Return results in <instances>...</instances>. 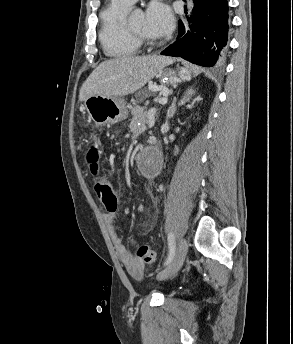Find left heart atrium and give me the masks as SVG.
Returning <instances> with one entry per match:
<instances>
[{"label": "left heart atrium", "instance_id": "1", "mask_svg": "<svg viewBox=\"0 0 293 344\" xmlns=\"http://www.w3.org/2000/svg\"><path fill=\"white\" fill-rule=\"evenodd\" d=\"M174 27V17L170 8L154 2L149 5L144 15V29L147 34L155 38L169 35Z\"/></svg>", "mask_w": 293, "mask_h": 344}]
</instances>
